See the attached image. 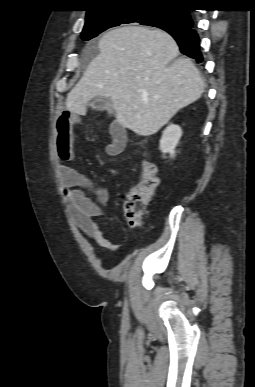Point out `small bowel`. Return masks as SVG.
Masks as SVG:
<instances>
[{
	"label": "small bowel",
	"mask_w": 255,
	"mask_h": 387,
	"mask_svg": "<svg viewBox=\"0 0 255 387\" xmlns=\"http://www.w3.org/2000/svg\"><path fill=\"white\" fill-rule=\"evenodd\" d=\"M77 114L63 112L56 123V147L60 160L65 163L75 156L74 125ZM111 141L106 147L110 156L121 154L127 143V135L121 125L112 123L110 126ZM60 178L66 209L77 226L92 237L100 246L117 250L118 245L111 242L100 228L97 218L103 216L108 202V191L98 186L92 179L78 170L61 164ZM93 193L95 200L88 196Z\"/></svg>",
	"instance_id": "obj_1"
}]
</instances>
